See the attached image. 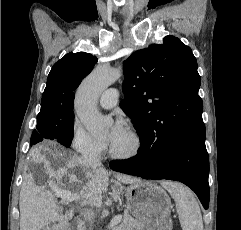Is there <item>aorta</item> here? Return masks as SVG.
I'll return each mask as SVG.
<instances>
[{
    "instance_id": "obj_1",
    "label": "aorta",
    "mask_w": 241,
    "mask_h": 230,
    "mask_svg": "<svg viewBox=\"0 0 241 230\" xmlns=\"http://www.w3.org/2000/svg\"><path fill=\"white\" fill-rule=\"evenodd\" d=\"M122 76L120 68L101 66L91 72L81 83L75 98V111L88 132L99 137L106 133L112 123L97 108L101 93Z\"/></svg>"
}]
</instances>
